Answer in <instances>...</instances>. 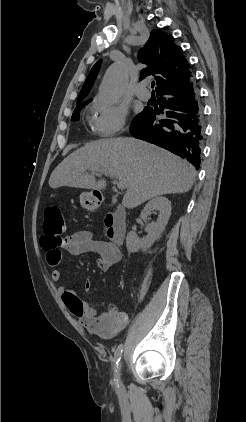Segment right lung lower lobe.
I'll return each mask as SVG.
<instances>
[{
	"instance_id": "1",
	"label": "right lung lower lobe",
	"mask_w": 246,
	"mask_h": 422,
	"mask_svg": "<svg viewBox=\"0 0 246 422\" xmlns=\"http://www.w3.org/2000/svg\"><path fill=\"white\" fill-rule=\"evenodd\" d=\"M158 112L146 108L130 126L133 137L153 143L185 158L196 169L200 168L203 142V115L193 76L164 87ZM166 117L157 120L164 113Z\"/></svg>"
}]
</instances>
